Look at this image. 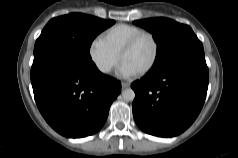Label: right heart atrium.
I'll list each match as a JSON object with an SVG mask.
<instances>
[{
	"label": "right heart atrium",
	"instance_id": "1",
	"mask_svg": "<svg viewBox=\"0 0 238 158\" xmlns=\"http://www.w3.org/2000/svg\"><path fill=\"white\" fill-rule=\"evenodd\" d=\"M89 55L97 69L105 74L109 73L119 62V54L101 37L92 40Z\"/></svg>",
	"mask_w": 238,
	"mask_h": 158
}]
</instances>
